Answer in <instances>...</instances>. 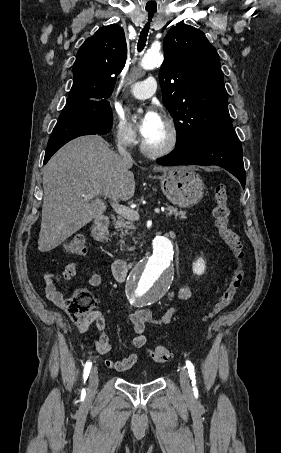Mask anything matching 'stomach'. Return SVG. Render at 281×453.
<instances>
[{"label":"stomach","mask_w":281,"mask_h":453,"mask_svg":"<svg viewBox=\"0 0 281 453\" xmlns=\"http://www.w3.org/2000/svg\"><path fill=\"white\" fill-rule=\"evenodd\" d=\"M161 188L170 202L178 206H192L204 194V182L192 166H174L164 170Z\"/></svg>","instance_id":"obj_1"}]
</instances>
